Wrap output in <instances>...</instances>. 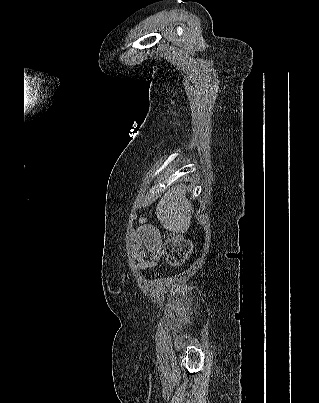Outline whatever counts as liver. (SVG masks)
<instances>
[{
    "label": "liver",
    "mask_w": 319,
    "mask_h": 403,
    "mask_svg": "<svg viewBox=\"0 0 319 403\" xmlns=\"http://www.w3.org/2000/svg\"><path fill=\"white\" fill-rule=\"evenodd\" d=\"M186 185L169 189L156 207V215L161 225L172 232L185 233L191 224L193 206L187 198Z\"/></svg>",
    "instance_id": "1"
}]
</instances>
